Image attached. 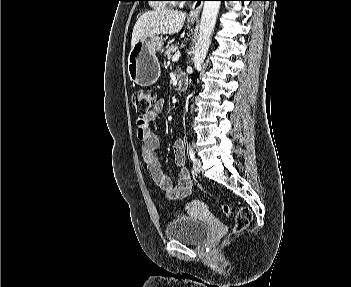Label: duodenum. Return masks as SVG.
<instances>
[{"label":"duodenum","mask_w":351,"mask_h":287,"mask_svg":"<svg viewBox=\"0 0 351 287\" xmlns=\"http://www.w3.org/2000/svg\"><path fill=\"white\" fill-rule=\"evenodd\" d=\"M178 86H179V90H180L181 92L184 91V89L186 88V84H185V81H184L183 78H180V79H179Z\"/></svg>","instance_id":"410a0bca"}]
</instances>
